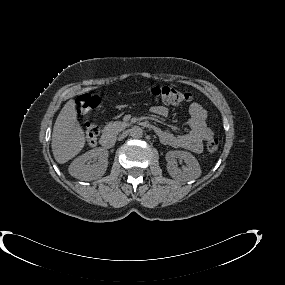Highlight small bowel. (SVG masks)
<instances>
[{"mask_svg":"<svg viewBox=\"0 0 285 285\" xmlns=\"http://www.w3.org/2000/svg\"><path fill=\"white\" fill-rule=\"evenodd\" d=\"M151 112L160 116L168 115V110L163 106H155ZM189 112L188 132L185 135H174L159 128L155 130L165 144L187 148L199 153L203 151V141L211 136L212 131L205 123L206 111L201 105L192 104Z\"/></svg>","mask_w":285,"mask_h":285,"instance_id":"1","label":"small bowel"}]
</instances>
